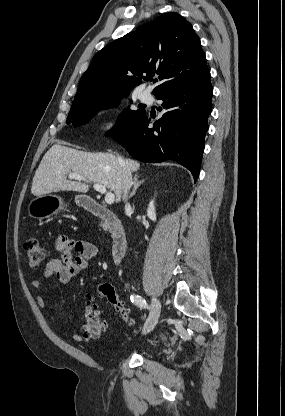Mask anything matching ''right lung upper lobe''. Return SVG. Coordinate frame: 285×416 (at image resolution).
<instances>
[{"instance_id":"right-lung-upper-lobe-1","label":"right lung upper lobe","mask_w":285,"mask_h":416,"mask_svg":"<svg viewBox=\"0 0 285 416\" xmlns=\"http://www.w3.org/2000/svg\"><path fill=\"white\" fill-rule=\"evenodd\" d=\"M155 74L161 80L153 90L156 97L210 74L199 37L176 12L162 14L100 50L80 79L70 111L127 96Z\"/></svg>"}]
</instances>
